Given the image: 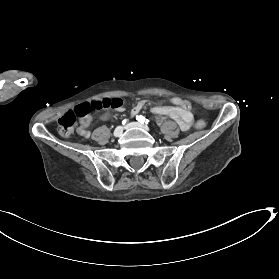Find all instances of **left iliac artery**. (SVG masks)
<instances>
[{
	"instance_id": "44dca946",
	"label": "left iliac artery",
	"mask_w": 279,
	"mask_h": 279,
	"mask_svg": "<svg viewBox=\"0 0 279 279\" xmlns=\"http://www.w3.org/2000/svg\"><path fill=\"white\" fill-rule=\"evenodd\" d=\"M136 119L142 124H149V120L142 115L137 116Z\"/></svg>"
}]
</instances>
